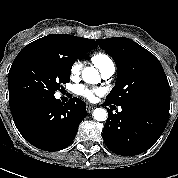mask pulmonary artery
<instances>
[{
  "instance_id": "1",
  "label": "pulmonary artery",
  "mask_w": 178,
  "mask_h": 178,
  "mask_svg": "<svg viewBox=\"0 0 178 178\" xmlns=\"http://www.w3.org/2000/svg\"><path fill=\"white\" fill-rule=\"evenodd\" d=\"M115 70L116 68L114 63H110L105 68H103L100 72L104 79H109L114 75Z\"/></svg>"
}]
</instances>
